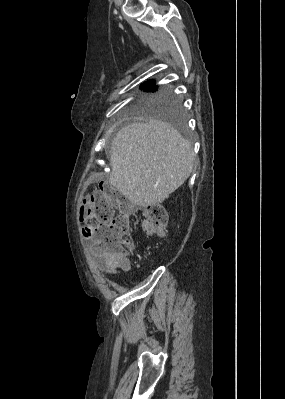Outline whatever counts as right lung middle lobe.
I'll return each mask as SVG.
<instances>
[{
    "instance_id": "dd1d6c3e",
    "label": "right lung middle lobe",
    "mask_w": 285,
    "mask_h": 399,
    "mask_svg": "<svg viewBox=\"0 0 285 399\" xmlns=\"http://www.w3.org/2000/svg\"><path fill=\"white\" fill-rule=\"evenodd\" d=\"M155 89L148 91L154 92ZM136 110L144 115L161 117L173 124H179L182 119L181 102L169 88H163L157 93L141 98L136 104Z\"/></svg>"
}]
</instances>
